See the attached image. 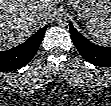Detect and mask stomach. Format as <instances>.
<instances>
[{"mask_svg":"<svg viewBox=\"0 0 111 106\" xmlns=\"http://www.w3.org/2000/svg\"><path fill=\"white\" fill-rule=\"evenodd\" d=\"M70 5L78 16L85 21H102L111 12L109 0H72Z\"/></svg>","mask_w":111,"mask_h":106,"instance_id":"stomach-1","label":"stomach"}]
</instances>
